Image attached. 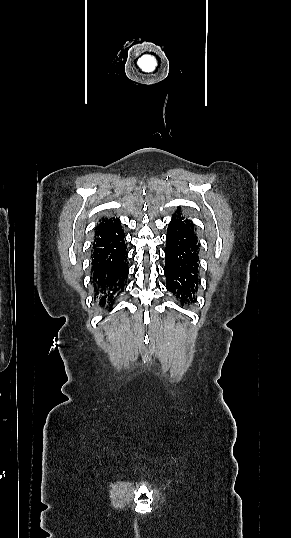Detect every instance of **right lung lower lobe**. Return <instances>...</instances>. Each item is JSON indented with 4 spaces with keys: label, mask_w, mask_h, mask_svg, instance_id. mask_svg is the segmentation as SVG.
I'll list each match as a JSON object with an SVG mask.
<instances>
[{
    "label": "right lung lower lobe",
    "mask_w": 291,
    "mask_h": 538,
    "mask_svg": "<svg viewBox=\"0 0 291 538\" xmlns=\"http://www.w3.org/2000/svg\"><path fill=\"white\" fill-rule=\"evenodd\" d=\"M125 234L120 222H115L95 232L92 246V283L100 306L114 304L124 291L129 269Z\"/></svg>",
    "instance_id": "right-lung-lower-lobe-1"
}]
</instances>
